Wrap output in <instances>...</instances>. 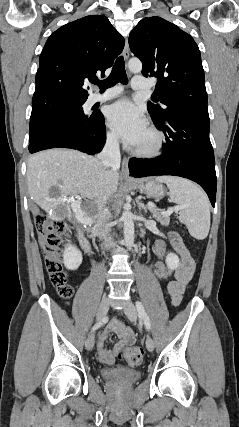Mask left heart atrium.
I'll use <instances>...</instances> for the list:
<instances>
[{
    "label": "left heart atrium",
    "mask_w": 239,
    "mask_h": 427,
    "mask_svg": "<svg viewBox=\"0 0 239 427\" xmlns=\"http://www.w3.org/2000/svg\"><path fill=\"white\" fill-rule=\"evenodd\" d=\"M107 123L117 136L132 146L147 129L143 112L127 99H121L108 108Z\"/></svg>",
    "instance_id": "left-heart-atrium-1"
}]
</instances>
